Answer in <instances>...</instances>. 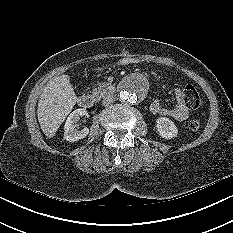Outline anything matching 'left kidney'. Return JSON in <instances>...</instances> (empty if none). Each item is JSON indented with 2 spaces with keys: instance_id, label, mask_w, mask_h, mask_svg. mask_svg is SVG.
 I'll return each instance as SVG.
<instances>
[{
  "instance_id": "obj_1",
  "label": "left kidney",
  "mask_w": 233,
  "mask_h": 233,
  "mask_svg": "<svg viewBox=\"0 0 233 233\" xmlns=\"http://www.w3.org/2000/svg\"><path fill=\"white\" fill-rule=\"evenodd\" d=\"M156 128L158 134L164 139H171L178 134V129L174 122L166 117L157 118Z\"/></svg>"
}]
</instances>
